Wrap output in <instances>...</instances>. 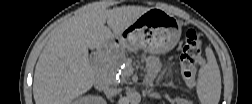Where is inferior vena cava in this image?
Here are the masks:
<instances>
[{"mask_svg":"<svg viewBox=\"0 0 252 104\" xmlns=\"http://www.w3.org/2000/svg\"><path fill=\"white\" fill-rule=\"evenodd\" d=\"M120 93V90L117 88H106L105 89V94L108 97H114L117 96Z\"/></svg>","mask_w":252,"mask_h":104,"instance_id":"602c4592","label":"inferior vena cava"}]
</instances>
